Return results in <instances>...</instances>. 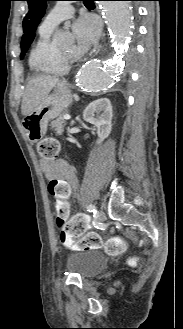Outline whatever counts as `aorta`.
<instances>
[{
	"mask_svg": "<svg viewBox=\"0 0 183 329\" xmlns=\"http://www.w3.org/2000/svg\"><path fill=\"white\" fill-rule=\"evenodd\" d=\"M100 6L117 46H124L131 35V3L129 1H101ZM56 39L64 42V34L56 33ZM120 65L119 59L106 62L93 61L83 66L77 75V84L86 92L108 90L113 83V75Z\"/></svg>",
	"mask_w": 183,
	"mask_h": 329,
	"instance_id": "aorta-1",
	"label": "aorta"
}]
</instances>
